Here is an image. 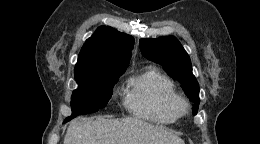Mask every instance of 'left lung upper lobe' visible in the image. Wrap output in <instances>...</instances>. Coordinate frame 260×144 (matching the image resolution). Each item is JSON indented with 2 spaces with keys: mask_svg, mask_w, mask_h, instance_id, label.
Returning a JSON list of instances; mask_svg holds the SVG:
<instances>
[{
  "mask_svg": "<svg viewBox=\"0 0 260 144\" xmlns=\"http://www.w3.org/2000/svg\"><path fill=\"white\" fill-rule=\"evenodd\" d=\"M139 43L143 56L162 65L170 77L182 84L185 94L195 104L192 111L197 114L200 101L199 84L192 73L189 55L177 38L174 36L143 38Z\"/></svg>",
  "mask_w": 260,
  "mask_h": 144,
  "instance_id": "5c2ea615",
  "label": "left lung upper lobe"
}]
</instances>
